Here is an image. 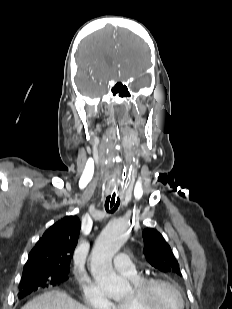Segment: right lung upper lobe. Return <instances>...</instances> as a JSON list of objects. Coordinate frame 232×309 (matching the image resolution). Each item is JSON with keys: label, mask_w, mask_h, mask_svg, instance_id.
<instances>
[{"label": "right lung upper lobe", "mask_w": 232, "mask_h": 309, "mask_svg": "<svg viewBox=\"0 0 232 309\" xmlns=\"http://www.w3.org/2000/svg\"><path fill=\"white\" fill-rule=\"evenodd\" d=\"M80 229L81 223L76 216H67L53 224L30 251L23 274L37 271L69 273Z\"/></svg>", "instance_id": "1"}]
</instances>
